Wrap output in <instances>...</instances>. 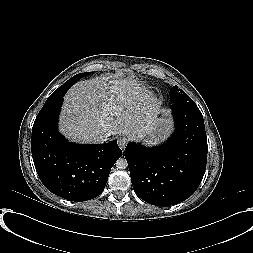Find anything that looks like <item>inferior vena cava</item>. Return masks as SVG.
<instances>
[{
    "mask_svg": "<svg viewBox=\"0 0 253 253\" xmlns=\"http://www.w3.org/2000/svg\"><path fill=\"white\" fill-rule=\"evenodd\" d=\"M109 135H107V134H105V135H101V136H99L97 139H96V141L98 142V143H104V142H106L109 138Z\"/></svg>",
    "mask_w": 253,
    "mask_h": 253,
    "instance_id": "1",
    "label": "inferior vena cava"
}]
</instances>
